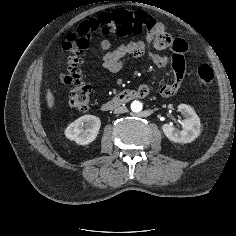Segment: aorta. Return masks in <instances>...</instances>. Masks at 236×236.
Listing matches in <instances>:
<instances>
[{"label": "aorta", "instance_id": "1", "mask_svg": "<svg viewBox=\"0 0 236 236\" xmlns=\"http://www.w3.org/2000/svg\"><path fill=\"white\" fill-rule=\"evenodd\" d=\"M143 108V105L140 101H133L131 103V110L134 112V113H139Z\"/></svg>", "mask_w": 236, "mask_h": 236}]
</instances>
